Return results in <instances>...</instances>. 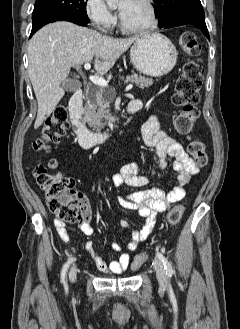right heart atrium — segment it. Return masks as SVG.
Listing matches in <instances>:
<instances>
[{
	"label": "right heart atrium",
	"instance_id": "obj_1",
	"mask_svg": "<svg viewBox=\"0 0 240 329\" xmlns=\"http://www.w3.org/2000/svg\"><path fill=\"white\" fill-rule=\"evenodd\" d=\"M85 12L92 24L101 31L111 29L116 23V17L104 0H86Z\"/></svg>",
	"mask_w": 240,
	"mask_h": 329
}]
</instances>
